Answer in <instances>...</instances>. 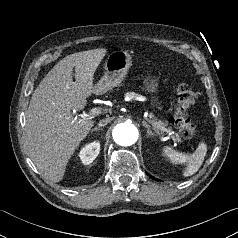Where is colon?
<instances>
[{"mask_svg": "<svg viewBox=\"0 0 238 238\" xmlns=\"http://www.w3.org/2000/svg\"><path fill=\"white\" fill-rule=\"evenodd\" d=\"M196 101V93L186 84L177 88V105L170 123L186 139L192 138L196 133V127L188 117V110Z\"/></svg>", "mask_w": 238, "mask_h": 238, "instance_id": "colon-1", "label": "colon"}]
</instances>
